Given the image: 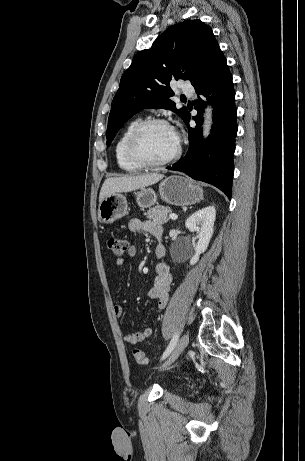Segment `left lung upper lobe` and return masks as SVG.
<instances>
[{
    "label": "left lung upper lobe",
    "instance_id": "1",
    "mask_svg": "<svg viewBox=\"0 0 305 461\" xmlns=\"http://www.w3.org/2000/svg\"><path fill=\"white\" fill-rule=\"evenodd\" d=\"M210 27L200 20H186L168 28L150 49L139 52L121 77L112 101L106 131L107 144L134 114L145 108H166L184 119L187 108H175L171 80L192 85L207 72L220 52Z\"/></svg>",
    "mask_w": 305,
    "mask_h": 461
}]
</instances>
